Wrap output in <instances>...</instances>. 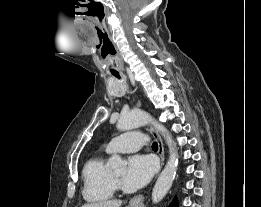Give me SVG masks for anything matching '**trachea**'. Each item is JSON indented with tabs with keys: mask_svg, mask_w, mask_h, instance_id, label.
I'll return each instance as SVG.
<instances>
[{
	"mask_svg": "<svg viewBox=\"0 0 261 207\" xmlns=\"http://www.w3.org/2000/svg\"><path fill=\"white\" fill-rule=\"evenodd\" d=\"M115 77H117V78H120V75L118 74V73H116V74H113ZM152 149L153 150H158V144L157 143H153L152 144Z\"/></svg>",
	"mask_w": 261,
	"mask_h": 207,
	"instance_id": "1",
	"label": "trachea"
}]
</instances>
